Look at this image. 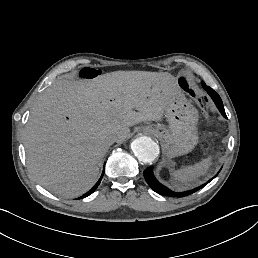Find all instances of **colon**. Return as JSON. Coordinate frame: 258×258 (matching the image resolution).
<instances>
[{
    "instance_id": "colon-1",
    "label": "colon",
    "mask_w": 258,
    "mask_h": 258,
    "mask_svg": "<svg viewBox=\"0 0 258 258\" xmlns=\"http://www.w3.org/2000/svg\"><path fill=\"white\" fill-rule=\"evenodd\" d=\"M102 73L103 72L101 69H98L95 67H85L79 71L78 76L84 80H93L101 76ZM182 82H183V85L188 89L190 93L192 94L195 93V90L191 85V80L189 79V77H186L185 79H183ZM202 101L206 102V98L202 97Z\"/></svg>"
}]
</instances>
